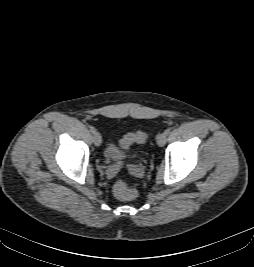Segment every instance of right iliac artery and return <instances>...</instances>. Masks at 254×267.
I'll use <instances>...</instances> for the list:
<instances>
[{"mask_svg": "<svg viewBox=\"0 0 254 267\" xmlns=\"http://www.w3.org/2000/svg\"><path fill=\"white\" fill-rule=\"evenodd\" d=\"M89 128H90V131H91L92 133H94V132L96 131L95 128H94L93 126H90Z\"/></svg>", "mask_w": 254, "mask_h": 267, "instance_id": "obj_1", "label": "right iliac artery"}]
</instances>
